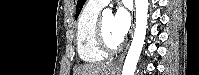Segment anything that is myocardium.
<instances>
[{"mask_svg": "<svg viewBox=\"0 0 199 75\" xmlns=\"http://www.w3.org/2000/svg\"><path fill=\"white\" fill-rule=\"evenodd\" d=\"M95 38L98 47L104 53H116L122 48V41H120L117 45L111 46L107 43L104 33H103V25H102V17H99L95 26Z\"/></svg>", "mask_w": 199, "mask_h": 75, "instance_id": "1", "label": "myocardium"}]
</instances>
